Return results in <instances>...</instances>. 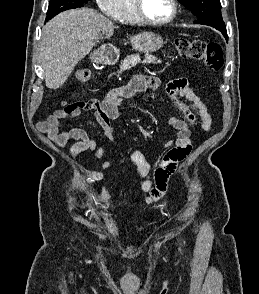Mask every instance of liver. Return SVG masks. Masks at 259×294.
Segmentation results:
<instances>
[{"label":"liver","instance_id":"liver-1","mask_svg":"<svg viewBox=\"0 0 259 294\" xmlns=\"http://www.w3.org/2000/svg\"><path fill=\"white\" fill-rule=\"evenodd\" d=\"M115 28L111 20L89 8L68 10L50 20L42 29L39 43L46 86H62L99 36L110 37Z\"/></svg>","mask_w":259,"mask_h":294}]
</instances>
